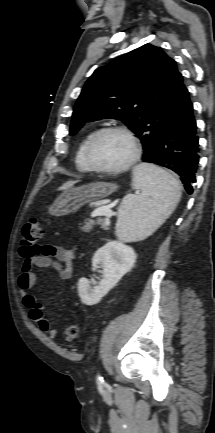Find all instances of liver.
Here are the masks:
<instances>
[{"mask_svg": "<svg viewBox=\"0 0 215 433\" xmlns=\"http://www.w3.org/2000/svg\"><path fill=\"white\" fill-rule=\"evenodd\" d=\"M78 181H79V180H76V181H68V182L64 183V184L59 188V190H68V189L72 188V186H73L75 183H77Z\"/></svg>", "mask_w": 215, "mask_h": 433, "instance_id": "liver-1", "label": "liver"}]
</instances>
